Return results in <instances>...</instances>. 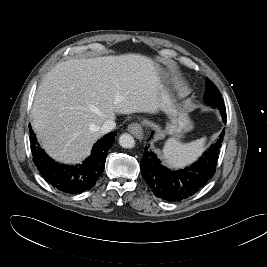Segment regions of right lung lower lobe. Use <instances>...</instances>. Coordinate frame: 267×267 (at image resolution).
<instances>
[{
	"label": "right lung lower lobe",
	"instance_id": "obj_1",
	"mask_svg": "<svg viewBox=\"0 0 267 267\" xmlns=\"http://www.w3.org/2000/svg\"><path fill=\"white\" fill-rule=\"evenodd\" d=\"M30 142L33 161L43 178L56 189L69 194L89 190L101 176L107 151L111 148L116 132L100 139L93 147L91 155L80 165L59 164L48 157L37 146L36 137L30 127Z\"/></svg>",
	"mask_w": 267,
	"mask_h": 267
}]
</instances>
